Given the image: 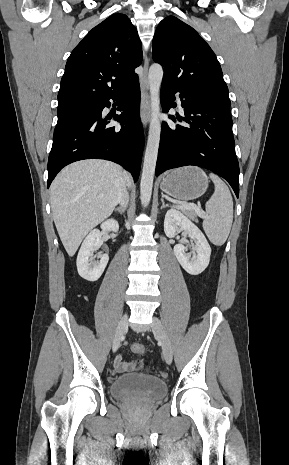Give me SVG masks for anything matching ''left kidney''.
I'll use <instances>...</instances> for the list:
<instances>
[{
	"label": "left kidney",
	"mask_w": 289,
	"mask_h": 465,
	"mask_svg": "<svg viewBox=\"0 0 289 465\" xmlns=\"http://www.w3.org/2000/svg\"><path fill=\"white\" fill-rule=\"evenodd\" d=\"M178 231H184L194 242L191 243L192 253H186V247L182 244L174 246V254L182 268L191 275L201 274L208 266L211 255V247L201 230L176 209L166 212L164 220V232L168 237H174Z\"/></svg>",
	"instance_id": "left-kidney-1"
}]
</instances>
